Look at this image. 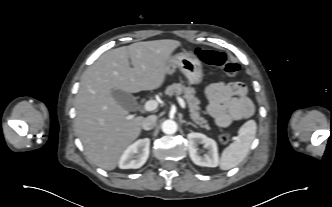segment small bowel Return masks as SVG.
<instances>
[{
	"label": "small bowel",
	"mask_w": 332,
	"mask_h": 207,
	"mask_svg": "<svg viewBox=\"0 0 332 207\" xmlns=\"http://www.w3.org/2000/svg\"><path fill=\"white\" fill-rule=\"evenodd\" d=\"M209 101L207 111L219 127H228L235 121L252 116L254 106L247 96V88L241 82L223 81L209 85L205 91Z\"/></svg>",
	"instance_id": "1"
}]
</instances>
